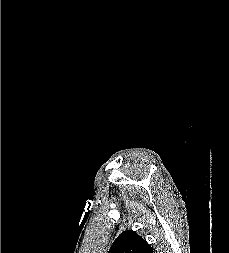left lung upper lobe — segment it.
I'll return each mask as SVG.
<instances>
[{"label":"left lung upper lobe","instance_id":"1","mask_svg":"<svg viewBox=\"0 0 229 253\" xmlns=\"http://www.w3.org/2000/svg\"><path fill=\"white\" fill-rule=\"evenodd\" d=\"M109 253H153V249L135 231L127 230L116 238Z\"/></svg>","mask_w":229,"mask_h":253}]
</instances>
